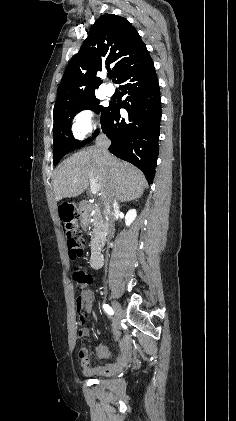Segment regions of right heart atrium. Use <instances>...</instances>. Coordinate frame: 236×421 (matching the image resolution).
<instances>
[{"instance_id": "obj_1", "label": "right heart atrium", "mask_w": 236, "mask_h": 421, "mask_svg": "<svg viewBox=\"0 0 236 421\" xmlns=\"http://www.w3.org/2000/svg\"><path fill=\"white\" fill-rule=\"evenodd\" d=\"M97 127L96 114L92 110L79 111L72 121V135L76 140L86 139Z\"/></svg>"}]
</instances>
